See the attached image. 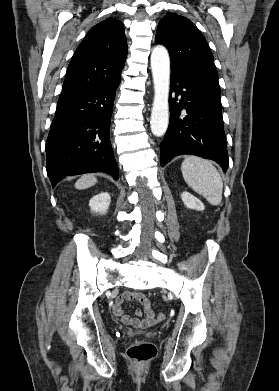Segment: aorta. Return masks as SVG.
Returning a JSON list of instances; mask_svg holds the SVG:
<instances>
[{
    "instance_id": "obj_1",
    "label": "aorta",
    "mask_w": 279,
    "mask_h": 391,
    "mask_svg": "<svg viewBox=\"0 0 279 391\" xmlns=\"http://www.w3.org/2000/svg\"><path fill=\"white\" fill-rule=\"evenodd\" d=\"M154 101L151 111V131L155 136L165 134L169 123L170 58L164 46H156L151 53Z\"/></svg>"
}]
</instances>
